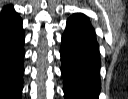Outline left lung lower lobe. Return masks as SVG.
<instances>
[{"label": "left lung lower lobe", "mask_w": 128, "mask_h": 99, "mask_svg": "<svg viewBox=\"0 0 128 99\" xmlns=\"http://www.w3.org/2000/svg\"><path fill=\"white\" fill-rule=\"evenodd\" d=\"M60 54L65 99H98L99 45L94 28L84 14L76 13L68 19Z\"/></svg>", "instance_id": "1"}]
</instances>
